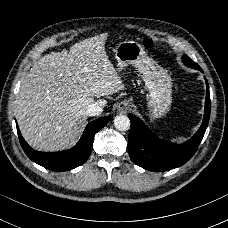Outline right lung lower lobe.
<instances>
[{"label":"right lung lower lobe","mask_w":228,"mask_h":228,"mask_svg":"<svg viewBox=\"0 0 228 228\" xmlns=\"http://www.w3.org/2000/svg\"><path fill=\"white\" fill-rule=\"evenodd\" d=\"M111 119L112 116H107L90 122L79 142L73 148L52 153L33 150L21 136L18 125L16 126L21 146L32 161L51 171L63 172L74 169L86 162L92 150L94 135Z\"/></svg>","instance_id":"98d812e1"}]
</instances>
